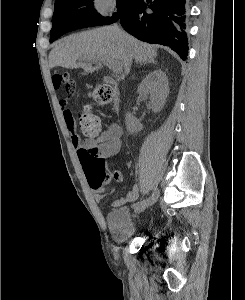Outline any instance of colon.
<instances>
[{
	"label": "colon",
	"instance_id": "obj_1",
	"mask_svg": "<svg viewBox=\"0 0 245 300\" xmlns=\"http://www.w3.org/2000/svg\"><path fill=\"white\" fill-rule=\"evenodd\" d=\"M52 81L56 89L65 86L69 94L73 93L76 87L75 80L68 72L54 74ZM91 96L98 104L107 105L113 100L114 91L109 85H101L92 91ZM78 121L82 134L89 140H96L100 132V121L89 107H84L79 112ZM80 161L90 186L94 189L100 188L108 179L107 160L99 157L95 148H90L80 151Z\"/></svg>",
	"mask_w": 245,
	"mask_h": 300
}]
</instances>
